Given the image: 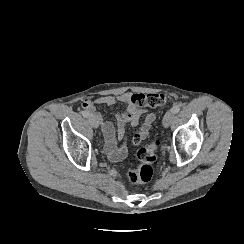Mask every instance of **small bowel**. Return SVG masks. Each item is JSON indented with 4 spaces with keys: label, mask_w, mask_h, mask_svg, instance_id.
I'll return each mask as SVG.
<instances>
[{
    "label": "small bowel",
    "mask_w": 244,
    "mask_h": 244,
    "mask_svg": "<svg viewBox=\"0 0 244 244\" xmlns=\"http://www.w3.org/2000/svg\"><path fill=\"white\" fill-rule=\"evenodd\" d=\"M133 94L130 92L121 93L117 96L106 95L98 97L95 101L85 98L82 101V108L90 117L100 124L105 137L106 151L113 157H123L126 154L125 133L126 126L131 125L138 128V133L144 137L156 119L155 114L149 113L145 109L136 106L132 102ZM117 103H123L127 106L125 113L117 116L116 125L104 117V115L96 110V105L114 106ZM117 140L121 141V150H116L118 146Z\"/></svg>",
    "instance_id": "c3829d8e"
}]
</instances>
